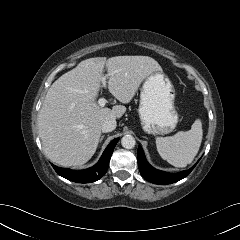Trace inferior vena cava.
I'll use <instances>...</instances> for the list:
<instances>
[{"instance_id":"obj_1","label":"inferior vena cava","mask_w":240,"mask_h":240,"mask_svg":"<svg viewBox=\"0 0 240 240\" xmlns=\"http://www.w3.org/2000/svg\"><path fill=\"white\" fill-rule=\"evenodd\" d=\"M116 128V120L115 119H107L101 125V130L104 133L111 132Z\"/></svg>"}]
</instances>
